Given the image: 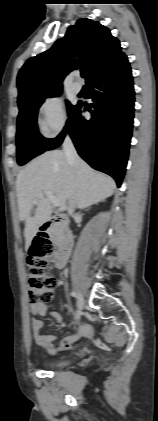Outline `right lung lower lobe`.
Returning a JSON list of instances; mask_svg holds the SVG:
<instances>
[{"label": "right lung lower lobe", "instance_id": "obj_1", "mask_svg": "<svg viewBox=\"0 0 158 421\" xmlns=\"http://www.w3.org/2000/svg\"><path fill=\"white\" fill-rule=\"evenodd\" d=\"M93 103L84 118L79 102L64 130L47 147L57 148L69 133L78 154L94 169L112 176L120 187L128 160L133 127L134 89L127 56L122 53L106 63L86 82Z\"/></svg>", "mask_w": 158, "mask_h": 421}]
</instances>
